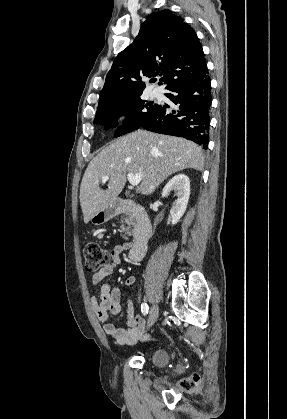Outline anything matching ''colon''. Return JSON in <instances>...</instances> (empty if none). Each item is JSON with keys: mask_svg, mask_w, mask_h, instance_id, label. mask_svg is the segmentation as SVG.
I'll list each match as a JSON object with an SVG mask.
<instances>
[{"mask_svg": "<svg viewBox=\"0 0 287 419\" xmlns=\"http://www.w3.org/2000/svg\"><path fill=\"white\" fill-rule=\"evenodd\" d=\"M84 256L87 270L94 272L108 264L111 253L99 244L89 243L84 247ZM199 382V377L195 375L194 377L183 380L181 386L184 389H194L199 385Z\"/></svg>", "mask_w": 287, "mask_h": 419, "instance_id": "5ec220e1", "label": "colon"}]
</instances>
